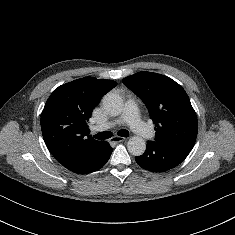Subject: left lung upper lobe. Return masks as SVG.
Wrapping results in <instances>:
<instances>
[{
  "label": "left lung upper lobe",
  "mask_w": 235,
  "mask_h": 235,
  "mask_svg": "<svg viewBox=\"0 0 235 235\" xmlns=\"http://www.w3.org/2000/svg\"><path fill=\"white\" fill-rule=\"evenodd\" d=\"M122 82L146 104L155 124V141L191 151L197 137L196 113L185 90L171 78L138 72Z\"/></svg>",
  "instance_id": "left-lung-upper-lobe-1"
}]
</instances>
